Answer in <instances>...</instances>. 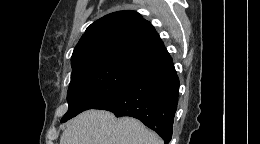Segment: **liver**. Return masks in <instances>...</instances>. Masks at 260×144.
Here are the masks:
<instances>
[{"label": "liver", "instance_id": "obj_1", "mask_svg": "<svg viewBox=\"0 0 260 144\" xmlns=\"http://www.w3.org/2000/svg\"><path fill=\"white\" fill-rule=\"evenodd\" d=\"M60 144H163V141L137 119H117L113 113L92 109L67 124Z\"/></svg>", "mask_w": 260, "mask_h": 144}]
</instances>
